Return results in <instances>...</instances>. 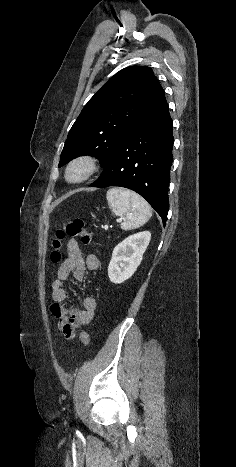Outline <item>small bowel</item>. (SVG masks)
<instances>
[{
    "mask_svg": "<svg viewBox=\"0 0 236 467\" xmlns=\"http://www.w3.org/2000/svg\"><path fill=\"white\" fill-rule=\"evenodd\" d=\"M68 257L57 270L56 278L52 283L53 304L50 307L52 316L56 319L57 329L66 339H74L77 330L89 324L95 315L96 301L93 297H85L82 309L67 302L66 291L63 287L70 275L76 281H83L85 271H96L100 267V261L96 255L90 254L85 259L79 245L70 241L67 246Z\"/></svg>",
    "mask_w": 236,
    "mask_h": 467,
    "instance_id": "c3829d8e",
    "label": "small bowel"
}]
</instances>
